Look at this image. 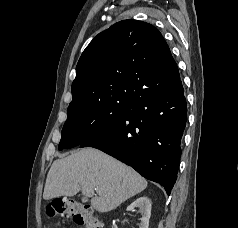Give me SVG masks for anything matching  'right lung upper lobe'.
Instances as JSON below:
<instances>
[{"instance_id":"obj_1","label":"right lung upper lobe","mask_w":238,"mask_h":228,"mask_svg":"<svg viewBox=\"0 0 238 228\" xmlns=\"http://www.w3.org/2000/svg\"><path fill=\"white\" fill-rule=\"evenodd\" d=\"M179 79L159 30L146 22L123 20L99 33L83 51L67 114L99 103H129Z\"/></svg>"}]
</instances>
